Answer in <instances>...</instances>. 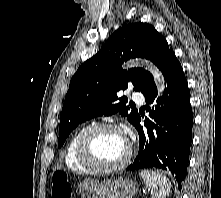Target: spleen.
<instances>
[{"label": "spleen", "mask_w": 221, "mask_h": 198, "mask_svg": "<svg viewBox=\"0 0 221 198\" xmlns=\"http://www.w3.org/2000/svg\"><path fill=\"white\" fill-rule=\"evenodd\" d=\"M146 187L150 191L151 198H166L171 191V183L159 171L143 170L140 172Z\"/></svg>", "instance_id": "obj_1"}]
</instances>
